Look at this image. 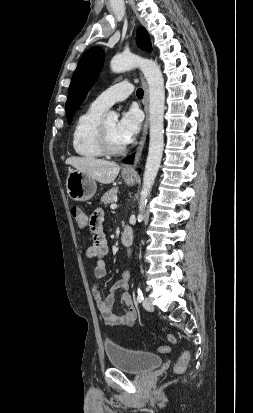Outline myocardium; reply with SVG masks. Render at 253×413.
I'll return each instance as SVG.
<instances>
[{
	"label": "myocardium",
	"mask_w": 253,
	"mask_h": 413,
	"mask_svg": "<svg viewBox=\"0 0 253 413\" xmlns=\"http://www.w3.org/2000/svg\"><path fill=\"white\" fill-rule=\"evenodd\" d=\"M96 140H97V144L100 150L105 155H111V156L120 155L124 153L126 150L125 146H121V147L112 146V144L110 143L108 139L107 133L105 131L103 120H101L98 123L97 129H96Z\"/></svg>",
	"instance_id": "myocardium-1"
}]
</instances>
